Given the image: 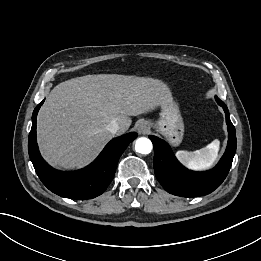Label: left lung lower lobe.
Here are the masks:
<instances>
[{
	"label": "left lung lower lobe",
	"mask_w": 261,
	"mask_h": 261,
	"mask_svg": "<svg viewBox=\"0 0 261 261\" xmlns=\"http://www.w3.org/2000/svg\"><path fill=\"white\" fill-rule=\"evenodd\" d=\"M224 109L228 127V144L219 163L207 172H193L183 167L175 158L170 146L163 140L149 136L154 146V171L164 189L177 196L197 197L207 195L218 188L226 178L236 151L235 127L226 105L215 96Z\"/></svg>",
	"instance_id": "left-lung-lower-lobe-1"
}]
</instances>
